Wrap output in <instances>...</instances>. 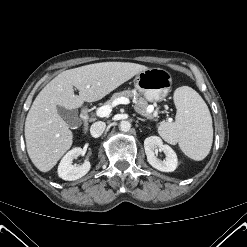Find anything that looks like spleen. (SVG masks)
Instances as JSON below:
<instances>
[{
  "instance_id": "obj_1",
  "label": "spleen",
  "mask_w": 247,
  "mask_h": 247,
  "mask_svg": "<svg viewBox=\"0 0 247 247\" xmlns=\"http://www.w3.org/2000/svg\"><path fill=\"white\" fill-rule=\"evenodd\" d=\"M177 109L174 122H162L159 133L170 144L179 145L189 158L200 161L210 152L213 142L212 117L202 97L191 87L174 92Z\"/></svg>"
}]
</instances>
